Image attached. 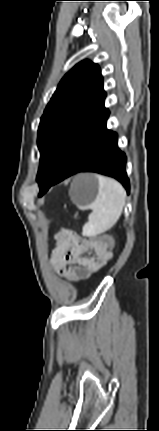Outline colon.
<instances>
[{"label": "colon", "instance_id": "1", "mask_svg": "<svg viewBox=\"0 0 159 431\" xmlns=\"http://www.w3.org/2000/svg\"><path fill=\"white\" fill-rule=\"evenodd\" d=\"M97 240H106L108 242V247L107 248H111L113 247V239L111 236L109 235H99L97 236Z\"/></svg>", "mask_w": 159, "mask_h": 431}]
</instances>
